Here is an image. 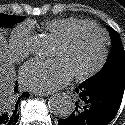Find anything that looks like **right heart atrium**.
Here are the masks:
<instances>
[{
    "label": "right heart atrium",
    "instance_id": "1",
    "mask_svg": "<svg viewBox=\"0 0 125 125\" xmlns=\"http://www.w3.org/2000/svg\"><path fill=\"white\" fill-rule=\"evenodd\" d=\"M8 48L15 62H20L29 56L33 51L31 26L28 24L17 26L11 33Z\"/></svg>",
    "mask_w": 125,
    "mask_h": 125
}]
</instances>
